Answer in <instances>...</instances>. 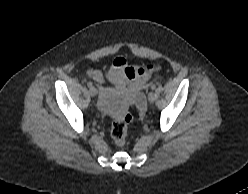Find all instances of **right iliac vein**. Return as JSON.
Instances as JSON below:
<instances>
[{
  "instance_id": "obj_1",
  "label": "right iliac vein",
  "mask_w": 248,
  "mask_h": 194,
  "mask_svg": "<svg viewBox=\"0 0 248 194\" xmlns=\"http://www.w3.org/2000/svg\"><path fill=\"white\" fill-rule=\"evenodd\" d=\"M89 93L92 97H95L97 95V90L94 87H91Z\"/></svg>"
}]
</instances>
